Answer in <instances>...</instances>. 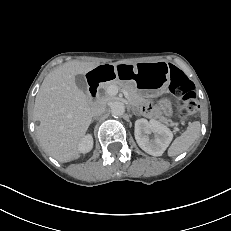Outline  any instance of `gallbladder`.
Instances as JSON below:
<instances>
[{
  "label": "gallbladder",
  "mask_w": 231,
  "mask_h": 231,
  "mask_svg": "<svg viewBox=\"0 0 231 231\" xmlns=\"http://www.w3.org/2000/svg\"><path fill=\"white\" fill-rule=\"evenodd\" d=\"M75 83L80 90H82L83 92L87 91V82L83 75H76Z\"/></svg>",
  "instance_id": "obj_1"
}]
</instances>
